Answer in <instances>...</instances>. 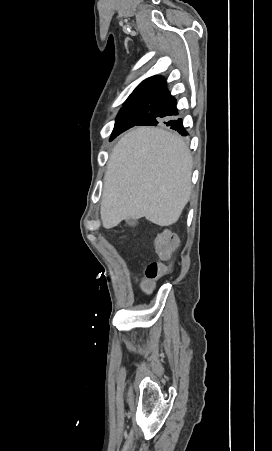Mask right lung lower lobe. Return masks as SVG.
Returning <instances> with one entry per match:
<instances>
[{
    "label": "right lung lower lobe",
    "mask_w": 272,
    "mask_h": 451,
    "mask_svg": "<svg viewBox=\"0 0 272 451\" xmlns=\"http://www.w3.org/2000/svg\"><path fill=\"white\" fill-rule=\"evenodd\" d=\"M175 105H176V100L168 92V90L165 87L159 94H157L152 99V101L150 103L149 112L140 121L136 122L129 128H131L135 125L156 126L159 123H164L167 126H170L171 129L177 130L179 133H181V135L186 136L187 133L183 126L182 119L181 118L171 119L170 117H168V116H172V115H179V112ZM129 128H127V129H129Z\"/></svg>",
    "instance_id": "98d812e1"
}]
</instances>
